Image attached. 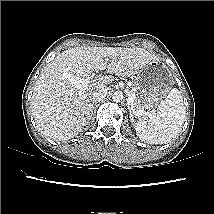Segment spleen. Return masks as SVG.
<instances>
[{
  "label": "spleen",
  "mask_w": 214,
  "mask_h": 214,
  "mask_svg": "<svg viewBox=\"0 0 214 214\" xmlns=\"http://www.w3.org/2000/svg\"><path fill=\"white\" fill-rule=\"evenodd\" d=\"M185 113L183 97L173 88L159 104L157 113L142 117L135 124L137 136L149 144H166L180 133Z\"/></svg>",
  "instance_id": "3e777b00"
}]
</instances>
